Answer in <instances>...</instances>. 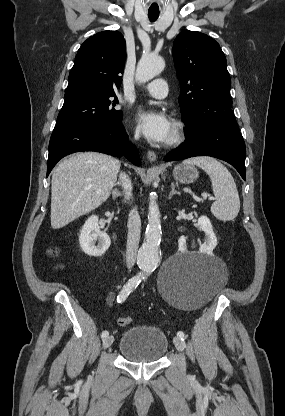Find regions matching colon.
I'll return each mask as SVG.
<instances>
[{
  "mask_svg": "<svg viewBox=\"0 0 285 416\" xmlns=\"http://www.w3.org/2000/svg\"><path fill=\"white\" fill-rule=\"evenodd\" d=\"M51 253L56 254V250H52ZM118 323L120 326L127 327L132 323V318L128 316L120 317Z\"/></svg>",
  "mask_w": 285,
  "mask_h": 416,
  "instance_id": "obj_1",
  "label": "colon"
}]
</instances>
